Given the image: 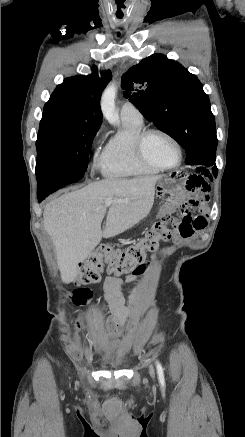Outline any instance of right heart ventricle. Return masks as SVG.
<instances>
[{"label":"right heart ventricle","instance_id":"obj_1","mask_svg":"<svg viewBox=\"0 0 245 437\" xmlns=\"http://www.w3.org/2000/svg\"><path fill=\"white\" fill-rule=\"evenodd\" d=\"M145 129L143 120L121 118L119 131L110 138L99 160L102 173L110 178H129L159 173L136 155L134 140Z\"/></svg>","mask_w":245,"mask_h":437}]
</instances>
